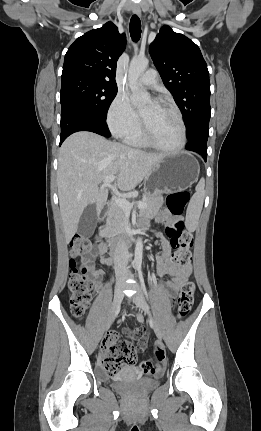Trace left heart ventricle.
<instances>
[{"instance_id": "b2bd125f", "label": "left heart ventricle", "mask_w": 261, "mask_h": 431, "mask_svg": "<svg viewBox=\"0 0 261 431\" xmlns=\"http://www.w3.org/2000/svg\"><path fill=\"white\" fill-rule=\"evenodd\" d=\"M143 121L158 144L175 147L180 140V125L175 113L162 104H148L142 111Z\"/></svg>"}]
</instances>
